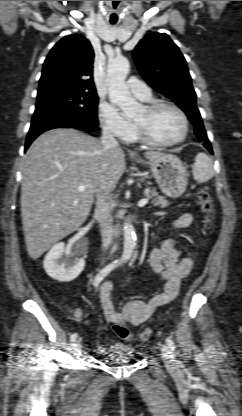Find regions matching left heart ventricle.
<instances>
[{"label": "left heart ventricle", "instance_id": "obj_1", "mask_svg": "<svg viewBox=\"0 0 242 416\" xmlns=\"http://www.w3.org/2000/svg\"><path fill=\"white\" fill-rule=\"evenodd\" d=\"M132 119L144 124L151 136L160 141L175 140L183 130L181 118L168 107H160L152 113H147L142 107Z\"/></svg>", "mask_w": 242, "mask_h": 416}]
</instances>
